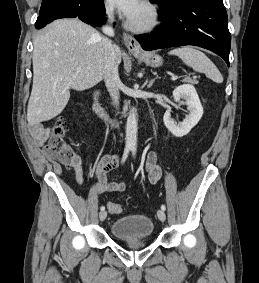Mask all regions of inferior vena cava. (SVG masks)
I'll return each instance as SVG.
<instances>
[{
    "instance_id": "inferior-vena-cava-1",
    "label": "inferior vena cava",
    "mask_w": 259,
    "mask_h": 283,
    "mask_svg": "<svg viewBox=\"0 0 259 283\" xmlns=\"http://www.w3.org/2000/svg\"><path fill=\"white\" fill-rule=\"evenodd\" d=\"M108 15V24L102 27V31L105 35L109 37L114 36V29L111 25L112 23V10L110 8L106 9ZM103 51H104V81L109 91L110 96L112 97L116 105L119 104V89L121 86V81L118 75V66L115 60V48L112 44V41L104 37L103 38Z\"/></svg>"
}]
</instances>
